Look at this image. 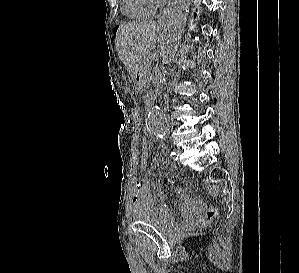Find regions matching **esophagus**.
<instances>
[{
    "label": "esophagus",
    "mask_w": 299,
    "mask_h": 273,
    "mask_svg": "<svg viewBox=\"0 0 299 273\" xmlns=\"http://www.w3.org/2000/svg\"><path fill=\"white\" fill-rule=\"evenodd\" d=\"M170 6H171V4H169L168 7L161 13V15L158 19L159 24H163L166 22L168 14H169Z\"/></svg>",
    "instance_id": "34e87169"
}]
</instances>
